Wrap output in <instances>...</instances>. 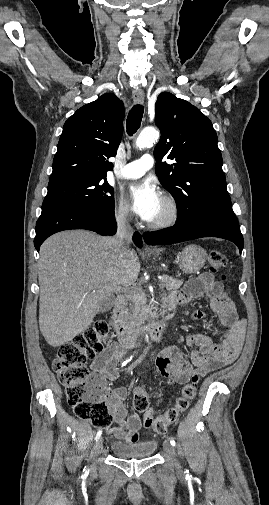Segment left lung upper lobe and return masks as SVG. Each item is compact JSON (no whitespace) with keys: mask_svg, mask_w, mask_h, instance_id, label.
<instances>
[{"mask_svg":"<svg viewBox=\"0 0 269 505\" xmlns=\"http://www.w3.org/2000/svg\"><path fill=\"white\" fill-rule=\"evenodd\" d=\"M155 123L161 130L154 149L156 174L176 201L177 224L191 223L211 209H232L211 121L189 102L163 92L155 104Z\"/></svg>","mask_w":269,"mask_h":505,"instance_id":"obj_1","label":"left lung upper lobe"}]
</instances>
